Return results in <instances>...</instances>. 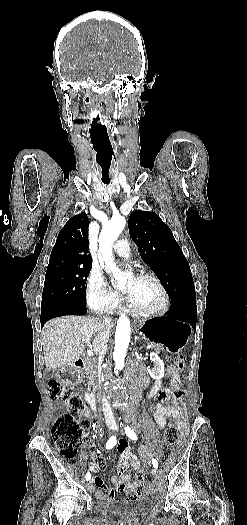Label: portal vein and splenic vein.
Here are the masks:
<instances>
[{
  "instance_id": "portal-vein-and-splenic-vein-1",
  "label": "portal vein and splenic vein",
  "mask_w": 247,
  "mask_h": 525,
  "mask_svg": "<svg viewBox=\"0 0 247 525\" xmlns=\"http://www.w3.org/2000/svg\"><path fill=\"white\" fill-rule=\"evenodd\" d=\"M149 348H153V345H151V343H148L146 350H149ZM87 355L93 356L92 351H87Z\"/></svg>"
}]
</instances>
